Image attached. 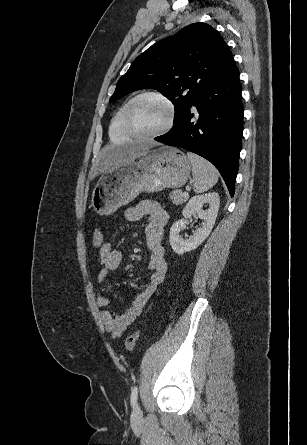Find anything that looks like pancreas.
I'll list each match as a JSON object with an SVG mask.
<instances>
[{
  "label": "pancreas",
  "instance_id": "obj_1",
  "mask_svg": "<svg viewBox=\"0 0 307 445\" xmlns=\"http://www.w3.org/2000/svg\"><path fill=\"white\" fill-rule=\"evenodd\" d=\"M169 196L170 200H172L174 204H183V202H186V200H188V196H184L183 192H181V190H178V188H175L173 192H170Z\"/></svg>",
  "mask_w": 307,
  "mask_h": 445
}]
</instances>
